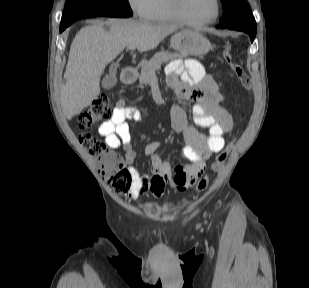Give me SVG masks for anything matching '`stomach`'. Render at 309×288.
Wrapping results in <instances>:
<instances>
[{
    "label": "stomach",
    "instance_id": "stomach-1",
    "mask_svg": "<svg viewBox=\"0 0 309 288\" xmlns=\"http://www.w3.org/2000/svg\"><path fill=\"white\" fill-rule=\"evenodd\" d=\"M170 44L182 56H201L206 54L211 44L209 40L198 31L182 29L171 37Z\"/></svg>",
    "mask_w": 309,
    "mask_h": 288
}]
</instances>
